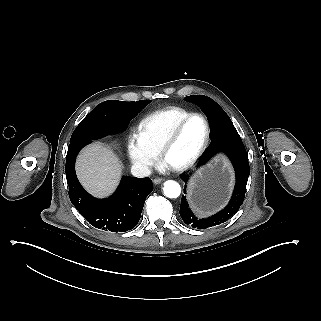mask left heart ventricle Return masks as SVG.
Wrapping results in <instances>:
<instances>
[{"label": "left heart ventricle", "mask_w": 321, "mask_h": 321, "mask_svg": "<svg viewBox=\"0 0 321 321\" xmlns=\"http://www.w3.org/2000/svg\"><path fill=\"white\" fill-rule=\"evenodd\" d=\"M205 135V125L201 118L194 117L180 130L177 140L169 151L166 161L172 166L187 163L198 151Z\"/></svg>", "instance_id": "b2bd125f"}]
</instances>
